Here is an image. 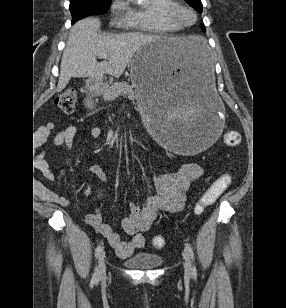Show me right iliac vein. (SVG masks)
Here are the masks:
<instances>
[{"mask_svg": "<svg viewBox=\"0 0 286 308\" xmlns=\"http://www.w3.org/2000/svg\"><path fill=\"white\" fill-rule=\"evenodd\" d=\"M106 274L105 252L103 251L99 256L97 277L102 278Z\"/></svg>", "mask_w": 286, "mask_h": 308, "instance_id": "1", "label": "right iliac vein"}]
</instances>
